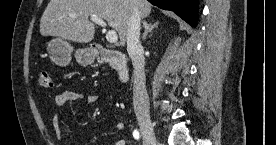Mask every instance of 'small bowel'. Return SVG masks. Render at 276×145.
I'll return each instance as SVG.
<instances>
[{
	"label": "small bowel",
	"instance_id": "c3829d8e",
	"mask_svg": "<svg viewBox=\"0 0 276 145\" xmlns=\"http://www.w3.org/2000/svg\"><path fill=\"white\" fill-rule=\"evenodd\" d=\"M100 99L101 98L99 96L94 94H87V93L75 91V90H65L55 96L54 103H55L56 109L59 110L69 102L81 101L85 105H91L99 102ZM51 123H52V128H53L55 137L57 138L58 141H63V135L59 124L58 112H55L54 115L52 116ZM115 128L118 131L124 130L125 128L124 122L122 121L116 122ZM115 145H126V141L123 139H120L115 143Z\"/></svg>",
	"mask_w": 276,
	"mask_h": 145
}]
</instances>
